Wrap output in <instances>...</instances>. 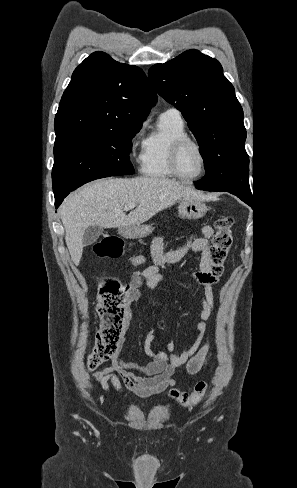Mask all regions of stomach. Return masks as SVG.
I'll use <instances>...</instances> for the list:
<instances>
[{"instance_id":"1","label":"stomach","mask_w":297,"mask_h":488,"mask_svg":"<svg viewBox=\"0 0 297 488\" xmlns=\"http://www.w3.org/2000/svg\"><path fill=\"white\" fill-rule=\"evenodd\" d=\"M208 207L206 204L199 199L190 198L183 199L178 207L179 217L187 219H199L202 218ZM154 228L150 225H135V226H124L119 229V233L124 238L135 239L144 238L152 233Z\"/></svg>"}]
</instances>
